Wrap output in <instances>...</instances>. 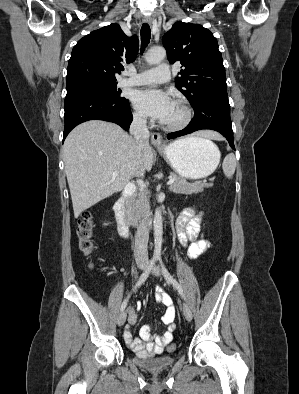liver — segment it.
<instances>
[{"mask_svg":"<svg viewBox=\"0 0 299 394\" xmlns=\"http://www.w3.org/2000/svg\"><path fill=\"white\" fill-rule=\"evenodd\" d=\"M197 136L220 138L213 131ZM153 159L149 143L139 152L134 138L114 123L91 120L75 127L63 145L74 216L121 191L142 170L150 171ZM114 171L118 176L113 177Z\"/></svg>","mask_w":299,"mask_h":394,"instance_id":"obj_1","label":"liver"}]
</instances>
